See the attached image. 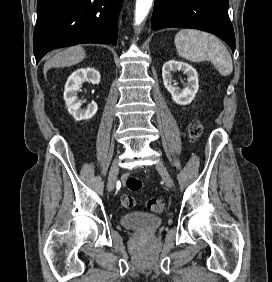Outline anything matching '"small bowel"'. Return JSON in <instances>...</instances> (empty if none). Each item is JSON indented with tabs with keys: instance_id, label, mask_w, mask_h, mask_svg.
Listing matches in <instances>:
<instances>
[{
	"instance_id": "c3829d8e",
	"label": "small bowel",
	"mask_w": 272,
	"mask_h": 282,
	"mask_svg": "<svg viewBox=\"0 0 272 282\" xmlns=\"http://www.w3.org/2000/svg\"><path fill=\"white\" fill-rule=\"evenodd\" d=\"M126 178H127L126 176H123V178H122V179H123V181H125V180H126Z\"/></svg>"
}]
</instances>
